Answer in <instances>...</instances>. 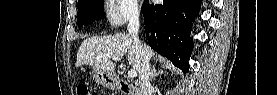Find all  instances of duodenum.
Returning a JSON list of instances; mask_svg holds the SVG:
<instances>
[{
	"instance_id": "duodenum-1",
	"label": "duodenum",
	"mask_w": 277,
	"mask_h": 95,
	"mask_svg": "<svg viewBox=\"0 0 277 95\" xmlns=\"http://www.w3.org/2000/svg\"><path fill=\"white\" fill-rule=\"evenodd\" d=\"M118 86L121 92L124 94L138 95L139 90L136 84H132L127 80H119Z\"/></svg>"
}]
</instances>
